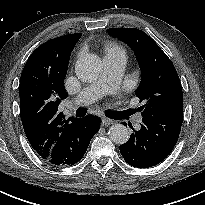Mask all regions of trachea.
Listing matches in <instances>:
<instances>
[{"mask_svg": "<svg viewBox=\"0 0 205 205\" xmlns=\"http://www.w3.org/2000/svg\"><path fill=\"white\" fill-rule=\"evenodd\" d=\"M86 112L87 111L84 108H79V109L76 110L75 114H76L77 117H83V116L86 115ZM113 113L114 112H112V111H108L106 113V116H108L109 118H112L113 117Z\"/></svg>", "mask_w": 205, "mask_h": 205, "instance_id": "3493384b", "label": "trachea"}]
</instances>
